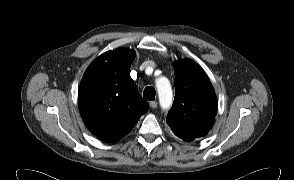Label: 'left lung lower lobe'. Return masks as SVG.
Here are the masks:
<instances>
[{"mask_svg": "<svg viewBox=\"0 0 294 180\" xmlns=\"http://www.w3.org/2000/svg\"><path fill=\"white\" fill-rule=\"evenodd\" d=\"M183 140L190 142V141H192L193 139H191V138H184Z\"/></svg>", "mask_w": 294, "mask_h": 180, "instance_id": "1", "label": "left lung lower lobe"}]
</instances>
